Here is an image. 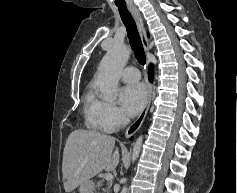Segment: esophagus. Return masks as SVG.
<instances>
[{"instance_id": "34e87169", "label": "esophagus", "mask_w": 237, "mask_h": 193, "mask_svg": "<svg viewBox=\"0 0 237 193\" xmlns=\"http://www.w3.org/2000/svg\"><path fill=\"white\" fill-rule=\"evenodd\" d=\"M129 10L132 13V15H133V17L136 21V24H137V27H138V30H139V33H140V36H141V39H142L143 46H144L145 50L148 51L149 50V40H148L147 35H146V29H145V25H144V21L142 19V16H141L140 12L138 11V9L134 6H130ZM147 65H148V67L150 66L149 61H147ZM146 78H147V99H146V103H145L141 113L137 117V119L127 128V130L125 132L126 138L131 137L132 135H134L139 130V128L141 127V125H142V123H143V121H144V119L147 115V112L149 110L150 103H151V98H152V85L148 80V72L146 74Z\"/></svg>"}]
</instances>
